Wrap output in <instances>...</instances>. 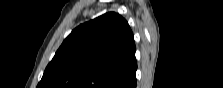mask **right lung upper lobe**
Returning a JSON list of instances; mask_svg holds the SVG:
<instances>
[{
    "instance_id": "right-lung-upper-lobe-1",
    "label": "right lung upper lobe",
    "mask_w": 223,
    "mask_h": 88,
    "mask_svg": "<svg viewBox=\"0 0 223 88\" xmlns=\"http://www.w3.org/2000/svg\"><path fill=\"white\" fill-rule=\"evenodd\" d=\"M136 69L129 24L109 12L71 32L37 88H132Z\"/></svg>"
}]
</instances>
